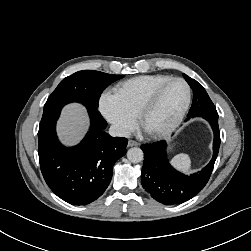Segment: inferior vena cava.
Segmentation results:
<instances>
[{
    "instance_id": "obj_1",
    "label": "inferior vena cava",
    "mask_w": 251,
    "mask_h": 251,
    "mask_svg": "<svg viewBox=\"0 0 251 251\" xmlns=\"http://www.w3.org/2000/svg\"><path fill=\"white\" fill-rule=\"evenodd\" d=\"M109 134L113 137H130V132L118 125H111L109 128Z\"/></svg>"
}]
</instances>
